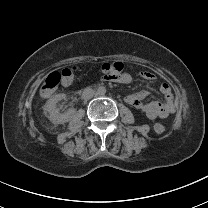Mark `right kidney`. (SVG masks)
Segmentation results:
<instances>
[{
    "mask_svg": "<svg viewBox=\"0 0 208 208\" xmlns=\"http://www.w3.org/2000/svg\"><path fill=\"white\" fill-rule=\"evenodd\" d=\"M66 95L63 93L54 95L51 99L46 102L44 109L48 112L49 120L54 124H63L69 121L70 117L67 114H61L59 109L56 107V104L65 99Z\"/></svg>",
    "mask_w": 208,
    "mask_h": 208,
    "instance_id": "1",
    "label": "right kidney"
}]
</instances>
